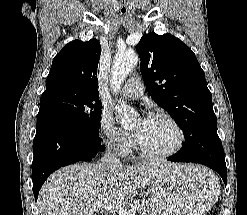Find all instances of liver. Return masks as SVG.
I'll list each match as a JSON object with an SVG mask.
<instances>
[{
  "instance_id": "liver-1",
  "label": "liver",
  "mask_w": 247,
  "mask_h": 215,
  "mask_svg": "<svg viewBox=\"0 0 247 215\" xmlns=\"http://www.w3.org/2000/svg\"><path fill=\"white\" fill-rule=\"evenodd\" d=\"M175 166L164 161L117 168L102 163L69 165L48 178L39 192L38 206L41 215H96L93 206L99 200L125 206L138 189L152 183L163 169Z\"/></svg>"
}]
</instances>
